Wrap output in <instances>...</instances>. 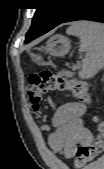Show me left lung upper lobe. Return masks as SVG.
I'll return each instance as SVG.
<instances>
[{
	"label": "left lung upper lobe",
	"mask_w": 104,
	"mask_h": 169,
	"mask_svg": "<svg viewBox=\"0 0 104 169\" xmlns=\"http://www.w3.org/2000/svg\"><path fill=\"white\" fill-rule=\"evenodd\" d=\"M60 7L36 9L32 26L26 39L40 31H50L59 25L76 7L78 0H52Z\"/></svg>",
	"instance_id": "1"
}]
</instances>
